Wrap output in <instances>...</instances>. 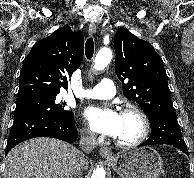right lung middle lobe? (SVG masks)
Returning a JSON list of instances; mask_svg holds the SVG:
<instances>
[{
  "label": "right lung middle lobe",
  "instance_id": "dd1d6c3e",
  "mask_svg": "<svg viewBox=\"0 0 194 178\" xmlns=\"http://www.w3.org/2000/svg\"><path fill=\"white\" fill-rule=\"evenodd\" d=\"M64 105L65 102L60 103L56 100V95L27 99L17 102L14 115L28 112L46 113L58 118L72 115V112L64 109Z\"/></svg>",
  "mask_w": 194,
  "mask_h": 178
}]
</instances>
